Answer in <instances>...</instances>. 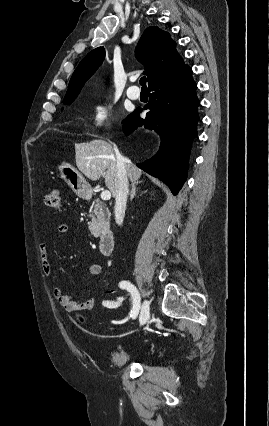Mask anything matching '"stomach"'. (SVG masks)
<instances>
[{"mask_svg": "<svg viewBox=\"0 0 269 426\" xmlns=\"http://www.w3.org/2000/svg\"><path fill=\"white\" fill-rule=\"evenodd\" d=\"M58 171L60 177L70 186L77 196L86 198L91 194L92 188L90 184L75 167L67 162H61L58 165Z\"/></svg>", "mask_w": 269, "mask_h": 426, "instance_id": "obj_1", "label": "stomach"}]
</instances>
